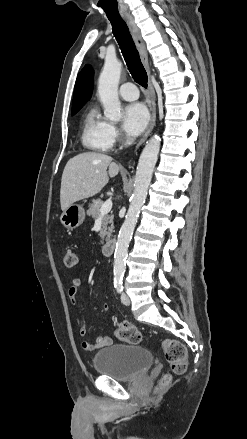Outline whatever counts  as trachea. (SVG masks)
<instances>
[{
  "label": "trachea",
  "mask_w": 247,
  "mask_h": 439,
  "mask_svg": "<svg viewBox=\"0 0 247 439\" xmlns=\"http://www.w3.org/2000/svg\"><path fill=\"white\" fill-rule=\"evenodd\" d=\"M112 25L113 34L120 46L125 62L133 79L139 85L147 87V73L141 63L138 51L136 50L129 29L120 16H108Z\"/></svg>",
  "instance_id": "3493384b"
}]
</instances>
